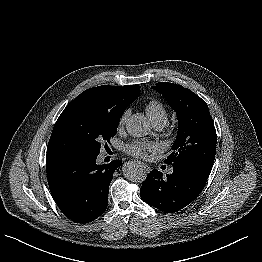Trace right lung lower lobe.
I'll return each mask as SVG.
<instances>
[{"label": "right lung lower lobe", "mask_w": 262, "mask_h": 262, "mask_svg": "<svg viewBox=\"0 0 262 262\" xmlns=\"http://www.w3.org/2000/svg\"><path fill=\"white\" fill-rule=\"evenodd\" d=\"M97 155H47L52 197L63 214L77 223L98 218L107 208L108 187L120 160L98 165Z\"/></svg>", "instance_id": "98d812e1"}]
</instances>
